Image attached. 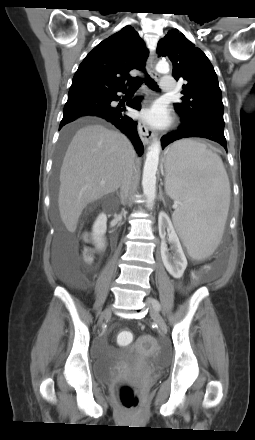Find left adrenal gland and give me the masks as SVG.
<instances>
[{
    "label": "left adrenal gland",
    "mask_w": 255,
    "mask_h": 440,
    "mask_svg": "<svg viewBox=\"0 0 255 440\" xmlns=\"http://www.w3.org/2000/svg\"><path fill=\"white\" fill-rule=\"evenodd\" d=\"M162 201H163V203L165 204V200H164V198H162Z\"/></svg>",
    "instance_id": "obj_1"
}]
</instances>
